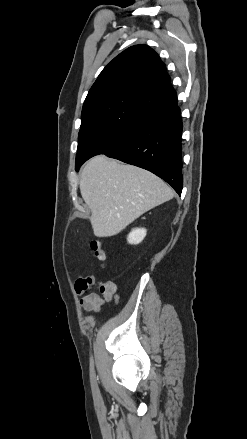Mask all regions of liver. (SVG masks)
I'll list each match as a JSON object with an SVG mask.
<instances>
[{
	"mask_svg": "<svg viewBox=\"0 0 247 439\" xmlns=\"http://www.w3.org/2000/svg\"><path fill=\"white\" fill-rule=\"evenodd\" d=\"M79 185L98 237L120 233L139 216L174 196L172 189L153 173L104 155L88 161Z\"/></svg>",
	"mask_w": 247,
	"mask_h": 439,
	"instance_id": "liver-1",
	"label": "liver"
}]
</instances>
